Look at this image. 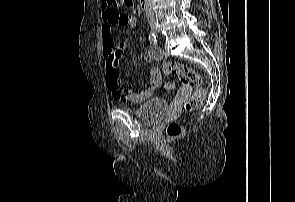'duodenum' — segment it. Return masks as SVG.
Listing matches in <instances>:
<instances>
[{"instance_id": "410a0bca", "label": "duodenum", "mask_w": 295, "mask_h": 202, "mask_svg": "<svg viewBox=\"0 0 295 202\" xmlns=\"http://www.w3.org/2000/svg\"><path fill=\"white\" fill-rule=\"evenodd\" d=\"M148 0H138V4L142 9L147 7Z\"/></svg>"}]
</instances>
